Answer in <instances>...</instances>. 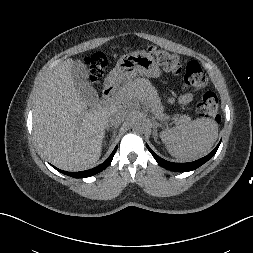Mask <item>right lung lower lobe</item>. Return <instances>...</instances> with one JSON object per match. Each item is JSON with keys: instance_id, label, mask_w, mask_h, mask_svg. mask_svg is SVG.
<instances>
[{"instance_id": "obj_1", "label": "right lung lower lobe", "mask_w": 253, "mask_h": 253, "mask_svg": "<svg viewBox=\"0 0 253 253\" xmlns=\"http://www.w3.org/2000/svg\"><path fill=\"white\" fill-rule=\"evenodd\" d=\"M116 150H117V147L114 149L112 154L109 156V158L105 162H103L101 165H99L95 168H92L90 170L81 171V172H66V171L60 170L58 168H55L54 166L53 167L55 169H57L59 172H61L63 174H66V175H69V176L74 177V178L89 177V176L95 175V174L101 172L102 170H104L111 163V161L114 157V154L116 153Z\"/></svg>"}]
</instances>
